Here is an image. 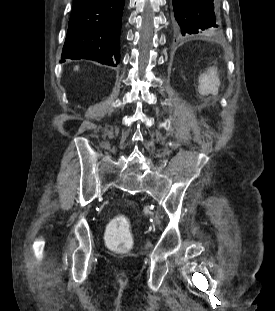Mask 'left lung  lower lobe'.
I'll return each mask as SVG.
<instances>
[{"instance_id":"0a47b994","label":"left lung lower lobe","mask_w":275,"mask_h":311,"mask_svg":"<svg viewBox=\"0 0 275 311\" xmlns=\"http://www.w3.org/2000/svg\"><path fill=\"white\" fill-rule=\"evenodd\" d=\"M172 31L176 38L218 32V0H172Z\"/></svg>"}]
</instances>
